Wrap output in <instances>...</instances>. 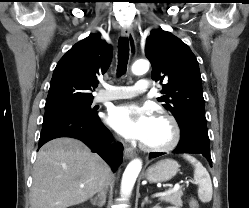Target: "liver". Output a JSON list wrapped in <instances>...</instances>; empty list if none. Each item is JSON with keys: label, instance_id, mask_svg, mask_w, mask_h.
<instances>
[{"label": "liver", "instance_id": "1", "mask_svg": "<svg viewBox=\"0 0 249 208\" xmlns=\"http://www.w3.org/2000/svg\"><path fill=\"white\" fill-rule=\"evenodd\" d=\"M32 177L31 208H68L93 197L111 170L81 141L61 137L40 148Z\"/></svg>", "mask_w": 249, "mask_h": 208}]
</instances>
